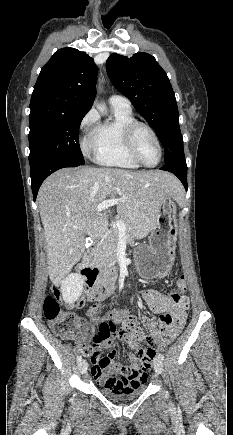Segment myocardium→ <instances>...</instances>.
Wrapping results in <instances>:
<instances>
[{
  "instance_id": "obj_1",
  "label": "myocardium",
  "mask_w": 233,
  "mask_h": 435,
  "mask_svg": "<svg viewBox=\"0 0 233 435\" xmlns=\"http://www.w3.org/2000/svg\"><path fill=\"white\" fill-rule=\"evenodd\" d=\"M143 128L145 130H147L149 132V134L151 135V137L153 138L158 152H159V159L157 161L156 164L154 165H148L146 163L143 162V160L141 159L136 144H135V134L138 131V129ZM123 136H124V141H125V145L126 148L128 150V153L130 154V156L132 157V159L137 162L140 166L145 167V168H154L156 166L159 165V163L162 160L163 157V150H162V146L159 140V137L157 135V133L155 132V130L147 123L139 121V120H134L133 122L129 123L123 131Z\"/></svg>"
}]
</instances>
